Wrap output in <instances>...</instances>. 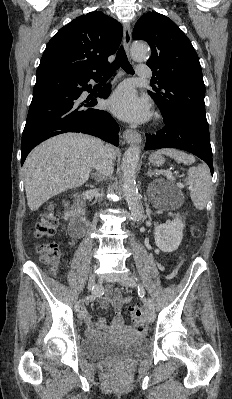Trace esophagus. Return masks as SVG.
<instances>
[{
    "label": "esophagus",
    "instance_id": "34e87169",
    "mask_svg": "<svg viewBox=\"0 0 232 399\" xmlns=\"http://www.w3.org/2000/svg\"><path fill=\"white\" fill-rule=\"evenodd\" d=\"M132 40L130 24L123 22V45L124 50L128 54L130 43ZM123 138L127 144H138L142 141L141 135L136 130L127 129L123 132Z\"/></svg>",
    "mask_w": 232,
    "mask_h": 399
}]
</instances>
